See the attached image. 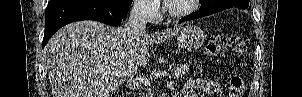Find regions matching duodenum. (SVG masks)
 <instances>
[{
    "label": "duodenum",
    "instance_id": "obj_1",
    "mask_svg": "<svg viewBox=\"0 0 302 97\" xmlns=\"http://www.w3.org/2000/svg\"><path fill=\"white\" fill-rule=\"evenodd\" d=\"M121 96H124V95H121ZM175 97H179V95H176Z\"/></svg>",
    "mask_w": 302,
    "mask_h": 97
}]
</instances>
